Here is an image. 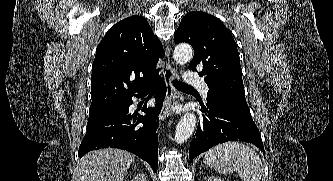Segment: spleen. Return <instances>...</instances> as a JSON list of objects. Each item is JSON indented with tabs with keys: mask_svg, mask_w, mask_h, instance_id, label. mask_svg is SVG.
<instances>
[{
	"mask_svg": "<svg viewBox=\"0 0 333 181\" xmlns=\"http://www.w3.org/2000/svg\"><path fill=\"white\" fill-rule=\"evenodd\" d=\"M203 162L221 174L236 171L243 181H261L263 174L259 155L239 142H226L211 148L205 153Z\"/></svg>",
	"mask_w": 333,
	"mask_h": 181,
	"instance_id": "obj_1",
	"label": "spleen"
}]
</instances>
